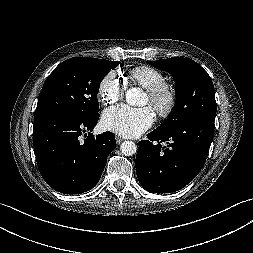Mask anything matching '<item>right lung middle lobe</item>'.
Returning a JSON list of instances; mask_svg holds the SVG:
<instances>
[{
  "label": "right lung middle lobe",
  "instance_id": "right-lung-middle-lobe-1",
  "mask_svg": "<svg viewBox=\"0 0 253 253\" xmlns=\"http://www.w3.org/2000/svg\"><path fill=\"white\" fill-rule=\"evenodd\" d=\"M118 65L117 61L81 57L62 62L46 79L34 118L59 114L87 120L98 116L100 83Z\"/></svg>",
  "mask_w": 253,
  "mask_h": 253
}]
</instances>
